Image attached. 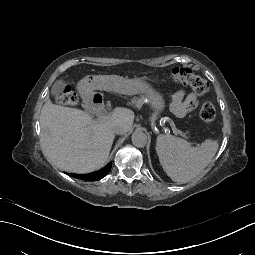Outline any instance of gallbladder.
Returning <instances> with one entry per match:
<instances>
[{
	"instance_id": "gallbladder-1",
	"label": "gallbladder",
	"mask_w": 255,
	"mask_h": 255,
	"mask_svg": "<svg viewBox=\"0 0 255 255\" xmlns=\"http://www.w3.org/2000/svg\"><path fill=\"white\" fill-rule=\"evenodd\" d=\"M66 88V82L63 79H58L54 82L51 88V96L57 100L65 99L64 89Z\"/></svg>"
}]
</instances>
